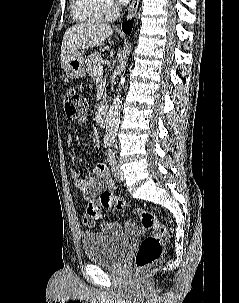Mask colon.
I'll return each mask as SVG.
<instances>
[{
    "mask_svg": "<svg viewBox=\"0 0 239 303\" xmlns=\"http://www.w3.org/2000/svg\"><path fill=\"white\" fill-rule=\"evenodd\" d=\"M64 106L66 116L70 120H77L87 112V100L76 89L70 88L64 95ZM114 206L119 210H131L141 219L142 226L146 229H153L154 233L145 237L136 253L135 265L138 270L145 269L156 262L162 256L163 242L168 236L166 226L157 216L140 207H132L127 201L119 196L105 191L100 194L97 200H91L86 208V216L91 219L100 217L101 207Z\"/></svg>",
    "mask_w": 239,
    "mask_h": 303,
    "instance_id": "obj_1",
    "label": "colon"
}]
</instances>
